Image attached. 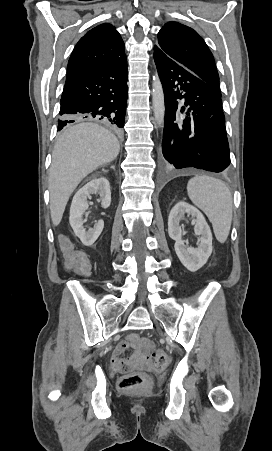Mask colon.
Wrapping results in <instances>:
<instances>
[{"label": "colon", "mask_w": 272, "mask_h": 451, "mask_svg": "<svg viewBox=\"0 0 272 451\" xmlns=\"http://www.w3.org/2000/svg\"><path fill=\"white\" fill-rule=\"evenodd\" d=\"M59 245L65 252L64 257L67 260V265L72 267L73 271H86L87 259L86 253L81 251L80 247H72L70 241L63 235L59 236ZM125 344L117 346V349H122ZM142 350L131 357H120L116 355L112 360L113 367L120 370L124 374L120 385L123 389L131 388H147L154 385L153 379L150 375L144 372L137 371L143 362L151 363L156 372L165 370L170 364L169 355L162 351L160 345H155L153 342H143Z\"/></svg>", "instance_id": "obj_1"}]
</instances>
